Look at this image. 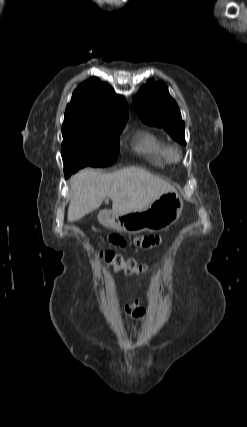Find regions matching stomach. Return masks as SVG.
<instances>
[{
  "mask_svg": "<svg viewBox=\"0 0 247 427\" xmlns=\"http://www.w3.org/2000/svg\"><path fill=\"white\" fill-rule=\"evenodd\" d=\"M182 210V198L176 191H170L143 210L126 214L105 210L98 214V220L103 226L120 232H159L174 224Z\"/></svg>",
  "mask_w": 247,
  "mask_h": 427,
  "instance_id": "0dacf381",
  "label": "stomach"
}]
</instances>
